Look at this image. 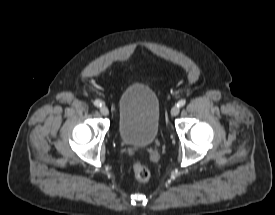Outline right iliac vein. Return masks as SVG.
Here are the masks:
<instances>
[{"mask_svg": "<svg viewBox=\"0 0 275 215\" xmlns=\"http://www.w3.org/2000/svg\"><path fill=\"white\" fill-rule=\"evenodd\" d=\"M100 112H101V114L104 115V116H108V115H109V110H108V108H107L106 106H104V105L100 107Z\"/></svg>", "mask_w": 275, "mask_h": 215, "instance_id": "1", "label": "right iliac vein"}]
</instances>
